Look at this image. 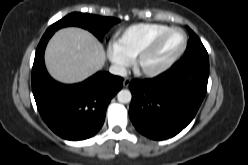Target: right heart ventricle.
Segmentation results:
<instances>
[{"mask_svg": "<svg viewBox=\"0 0 248 165\" xmlns=\"http://www.w3.org/2000/svg\"><path fill=\"white\" fill-rule=\"evenodd\" d=\"M166 28L168 26L158 23L133 24L118 33L116 44L129 59H133L157 33Z\"/></svg>", "mask_w": 248, "mask_h": 165, "instance_id": "1", "label": "right heart ventricle"}]
</instances>
